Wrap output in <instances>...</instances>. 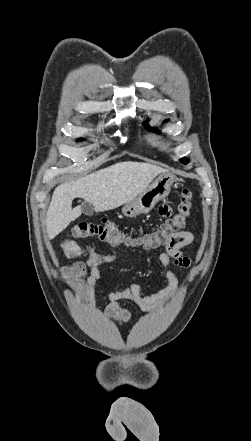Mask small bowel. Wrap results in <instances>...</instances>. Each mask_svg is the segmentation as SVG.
I'll return each instance as SVG.
<instances>
[{
  "mask_svg": "<svg viewBox=\"0 0 251 441\" xmlns=\"http://www.w3.org/2000/svg\"><path fill=\"white\" fill-rule=\"evenodd\" d=\"M163 215L169 214L168 207L161 208ZM194 235L190 231H180L172 235L165 243L164 251L158 256V261L165 270L167 285L158 292L145 295L141 292L138 284H131L116 291H104L108 300L106 314L109 319L117 324L129 323L132 320L131 312L121 305V301H130L144 311H154L162 307L176 293L178 278L170 269L171 265L188 268L191 265L189 257L184 255L183 248L190 245ZM64 253L70 258L82 259L72 265L62 266L59 272L72 279V287L81 296V301L88 304L92 310H96L97 301L95 289L101 283L102 272L100 265L111 264L116 261L115 254H103L95 250L93 246L82 247L74 241L62 243Z\"/></svg>",
  "mask_w": 251,
  "mask_h": 441,
  "instance_id": "small-bowel-1",
  "label": "small bowel"
}]
</instances>
